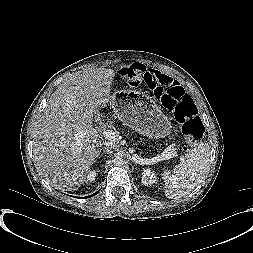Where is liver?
Segmentation results:
<instances>
[{"instance_id":"obj_1","label":"liver","mask_w":253,"mask_h":253,"mask_svg":"<svg viewBox=\"0 0 253 253\" xmlns=\"http://www.w3.org/2000/svg\"><path fill=\"white\" fill-rule=\"evenodd\" d=\"M114 76V70L105 68L71 74L35 123V165L59 189L71 191L83 184L106 143L92 127V118L111 100Z\"/></svg>"}]
</instances>
